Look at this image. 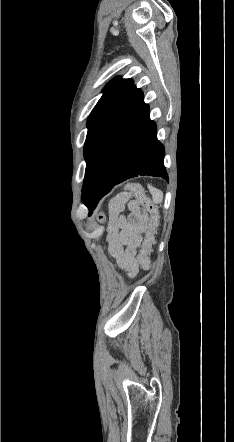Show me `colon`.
<instances>
[{
    "label": "colon",
    "mask_w": 234,
    "mask_h": 442,
    "mask_svg": "<svg viewBox=\"0 0 234 442\" xmlns=\"http://www.w3.org/2000/svg\"><path fill=\"white\" fill-rule=\"evenodd\" d=\"M129 195H133L137 198L147 214L143 247L141 253L138 255V260L140 261V268L144 269L146 273H149L151 271V256L147 253V251L153 241L154 230L159 223V212L157 205L146 195L143 187L139 183H127L124 186L123 191L118 196L123 198Z\"/></svg>",
    "instance_id": "5ec220e1"
}]
</instances>
